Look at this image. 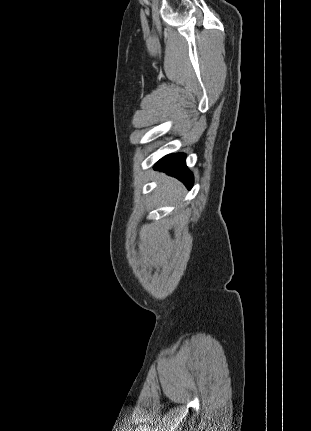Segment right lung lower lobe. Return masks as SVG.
Wrapping results in <instances>:
<instances>
[{
  "mask_svg": "<svg viewBox=\"0 0 311 431\" xmlns=\"http://www.w3.org/2000/svg\"><path fill=\"white\" fill-rule=\"evenodd\" d=\"M185 154H171L167 155L155 166L156 170L164 171L169 175H172L182 181L189 189L193 185V175L188 170L185 163Z\"/></svg>",
  "mask_w": 311,
  "mask_h": 431,
  "instance_id": "98d812e1",
  "label": "right lung lower lobe"
}]
</instances>
